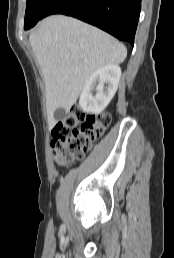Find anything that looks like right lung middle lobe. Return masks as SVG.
Segmentation results:
<instances>
[{
	"mask_svg": "<svg viewBox=\"0 0 174 258\" xmlns=\"http://www.w3.org/2000/svg\"><path fill=\"white\" fill-rule=\"evenodd\" d=\"M53 2L54 0H27L24 29H30L41 20L45 10Z\"/></svg>",
	"mask_w": 174,
	"mask_h": 258,
	"instance_id": "dd1d6c3e",
	"label": "right lung middle lobe"
}]
</instances>
